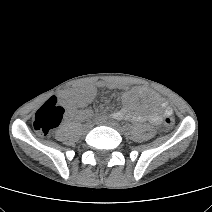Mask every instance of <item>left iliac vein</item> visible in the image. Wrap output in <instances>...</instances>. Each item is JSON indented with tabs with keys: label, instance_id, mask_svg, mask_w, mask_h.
Listing matches in <instances>:
<instances>
[{
	"label": "left iliac vein",
	"instance_id": "1",
	"mask_svg": "<svg viewBox=\"0 0 212 212\" xmlns=\"http://www.w3.org/2000/svg\"><path fill=\"white\" fill-rule=\"evenodd\" d=\"M104 125H107L109 127L114 128L115 130H117L119 133H124V129L117 123L114 121H103L102 122Z\"/></svg>",
	"mask_w": 212,
	"mask_h": 212
}]
</instances>
